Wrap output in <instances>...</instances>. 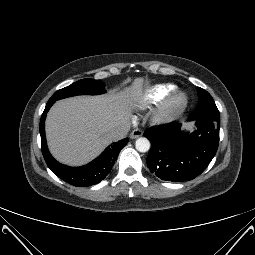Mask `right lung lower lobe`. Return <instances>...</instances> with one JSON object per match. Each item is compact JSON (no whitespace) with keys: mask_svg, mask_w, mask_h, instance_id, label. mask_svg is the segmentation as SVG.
<instances>
[{"mask_svg":"<svg viewBox=\"0 0 255 255\" xmlns=\"http://www.w3.org/2000/svg\"><path fill=\"white\" fill-rule=\"evenodd\" d=\"M52 105L53 102H48L46 104L45 110L41 116L39 127L42 153L48 167L59 178L73 186L87 187L98 184L110 173L120 150L127 144L128 138L122 139L113 145L108 146L97 159L85 166L69 167L63 165L51 156L45 138V118Z\"/></svg>","mask_w":255,"mask_h":255,"instance_id":"obj_1","label":"right lung lower lobe"}]
</instances>
